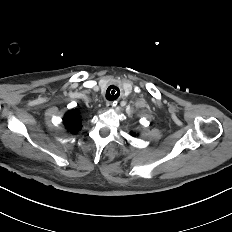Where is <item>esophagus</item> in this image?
I'll list each match as a JSON object with an SVG mask.
<instances>
[{"label":"esophagus","instance_id":"1","mask_svg":"<svg viewBox=\"0 0 232 232\" xmlns=\"http://www.w3.org/2000/svg\"><path fill=\"white\" fill-rule=\"evenodd\" d=\"M106 106H107V108L111 109V108H113L115 106V104H114V102L109 101V102L106 103Z\"/></svg>","mask_w":232,"mask_h":232}]
</instances>
